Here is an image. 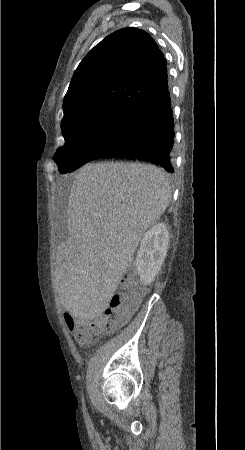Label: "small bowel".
<instances>
[{"instance_id":"1","label":"small bowel","mask_w":245,"mask_h":450,"mask_svg":"<svg viewBox=\"0 0 245 450\" xmlns=\"http://www.w3.org/2000/svg\"><path fill=\"white\" fill-rule=\"evenodd\" d=\"M79 285V282L77 280H72L71 281V287L75 288ZM63 310H64V320L65 323L67 324L68 328L70 329L71 333L73 334L74 338L81 344H90L93 342L91 335H89V337L87 339H81L79 334L77 333V331L75 329H71V324H77L78 322L83 321V319L81 317H79L76 314L74 305H73V300L71 298H67L64 306H63Z\"/></svg>"}]
</instances>
